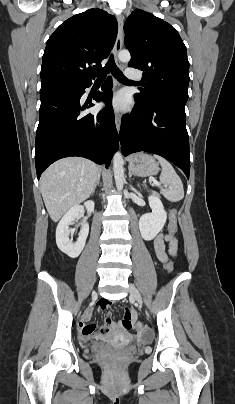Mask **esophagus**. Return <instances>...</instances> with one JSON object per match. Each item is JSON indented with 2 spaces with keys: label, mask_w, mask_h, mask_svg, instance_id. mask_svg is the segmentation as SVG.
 <instances>
[{
  "label": "esophagus",
  "mask_w": 235,
  "mask_h": 404,
  "mask_svg": "<svg viewBox=\"0 0 235 404\" xmlns=\"http://www.w3.org/2000/svg\"><path fill=\"white\" fill-rule=\"evenodd\" d=\"M117 21H118V35H117V40H116L115 47H114V57H115L116 65L118 67L122 68V63L120 62V60L118 58V54H119L120 50L122 49V45H123V16L119 15L117 17ZM115 124H116L117 131L119 132L120 126H121V117L118 112H115Z\"/></svg>",
  "instance_id": "esophagus-1"
}]
</instances>
